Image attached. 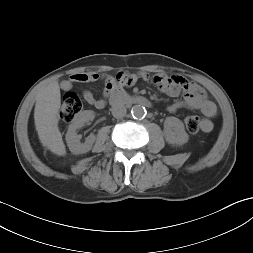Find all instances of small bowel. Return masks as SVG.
<instances>
[{
    "label": "small bowel",
    "mask_w": 253,
    "mask_h": 253,
    "mask_svg": "<svg viewBox=\"0 0 253 253\" xmlns=\"http://www.w3.org/2000/svg\"><path fill=\"white\" fill-rule=\"evenodd\" d=\"M103 79L106 85V91L112 86L119 84L133 85L138 79L148 80L149 75L145 72L130 74L127 72H119L116 76H102L95 72L77 73L69 77V79L61 83L63 90H70L75 85L81 83H94ZM152 82L157 88L170 97H178L183 94L181 100H177L168 106L169 112H177L180 109L200 110L205 118L202 119V130L209 132L213 129L212 118L216 116V105L207 98L204 90L196 84L188 81L182 76H169L164 73H158L152 76ZM84 99L96 108H103V98H97L91 91L83 92Z\"/></svg>",
    "instance_id": "1"
}]
</instances>
